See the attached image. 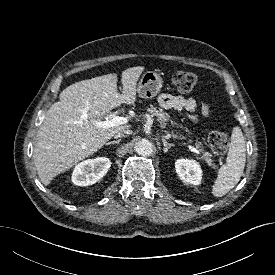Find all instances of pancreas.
Returning <instances> with one entry per match:
<instances>
[{
	"label": "pancreas",
	"instance_id": "obj_1",
	"mask_svg": "<svg viewBox=\"0 0 275 275\" xmlns=\"http://www.w3.org/2000/svg\"><path fill=\"white\" fill-rule=\"evenodd\" d=\"M147 111L152 114L153 116L157 117V121L160 122L162 125H166V123L169 121L170 116L164 112L162 109H157V107L151 105L149 108H147ZM188 132V130L186 129ZM174 137L184 138L182 135H173ZM195 146L200 150L203 151V147L201 142H196ZM201 159H204L208 164H211V154L209 152H204L201 156Z\"/></svg>",
	"mask_w": 275,
	"mask_h": 275
}]
</instances>
